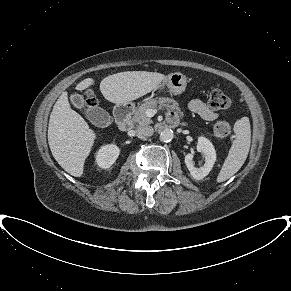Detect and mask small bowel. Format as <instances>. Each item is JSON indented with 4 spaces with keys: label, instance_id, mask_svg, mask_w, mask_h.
<instances>
[{
    "label": "small bowel",
    "instance_id": "c3829d8e",
    "mask_svg": "<svg viewBox=\"0 0 291 291\" xmlns=\"http://www.w3.org/2000/svg\"><path fill=\"white\" fill-rule=\"evenodd\" d=\"M188 106L191 112L199 115L206 121H213L218 117V114L200 99L191 100Z\"/></svg>",
    "mask_w": 291,
    "mask_h": 291
}]
</instances>
